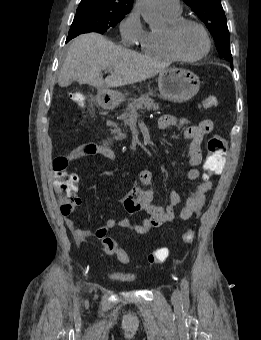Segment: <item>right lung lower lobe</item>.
Returning a JSON list of instances; mask_svg holds the SVG:
<instances>
[{
	"label": "right lung lower lobe",
	"mask_w": 261,
	"mask_h": 340,
	"mask_svg": "<svg viewBox=\"0 0 261 340\" xmlns=\"http://www.w3.org/2000/svg\"><path fill=\"white\" fill-rule=\"evenodd\" d=\"M79 34H72V35H69L66 39V42H68L69 40H71L72 38L78 36Z\"/></svg>",
	"instance_id": "obj_1"
}]
</instances>
